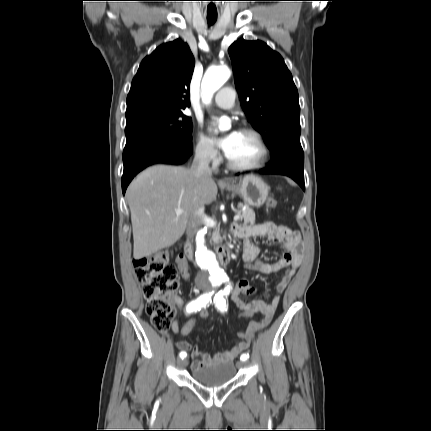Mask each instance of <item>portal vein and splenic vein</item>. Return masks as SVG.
Returning <instances> with one entry per match:
<instances>
[{
    "mask_svg": "<svg viewBox=\"0 0 431 431\" xmlns=\"http://www.w3.org/2000/svg\"><path fill=\"white\" fill-rule=\"evenodd\" d=\"M175 212H176V214H177V215H180V214H182V213H183V210H181V209H177V210H175ZM239 218H240L239 214H236V215L234 216V220H235V221L239 220Z\"/></svg>",
    "mask_w": 431,
    "mask_h": 431,
    "instance_id": "portal-vein-and-splenic-vein-1",
    "label": "portal vein and splenic vein"
}]
</instances>
